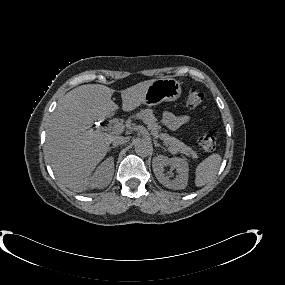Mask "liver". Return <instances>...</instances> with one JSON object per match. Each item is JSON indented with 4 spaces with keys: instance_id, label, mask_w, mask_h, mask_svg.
Segmentation results:
<instances>
[{
    "instance_id": "liver-1",
    "label": "liver",
    "mask_w": 285,
    "mask_h": 285,
    "mask_svg": "<svg viewBox=\"0 0 285 285\" xmlns=\"http://www.w3.org/2000/svg\"><path fill=\"white\" fill-rule=\"evenodd\" d=\"M153 80L121 91L122 110L132 111L144 104L143 95ZM115 90L100 84L76 87L64 95L53 112L44 147L56 178L75 192L85 191L92 172L105 157L116 137L92 129L118 110L111 97Z\"/></svg>"
}]
</instances>
